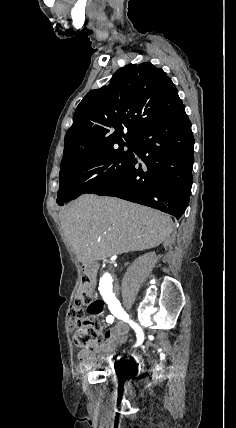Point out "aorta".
Listing matches in <instances>:
<instances>
[{
  "label": "aorta",
  "instance_id": "1",
  "mask_svg": "<svg viewBox=\"0 0 236 428\" xmlns=\"http://www.w3.org/2000/svg\"><path fill=\"white\" fill-rule=\"evenodd\" d=\"M116 282L112 271L107 270L100 278V287L103 292L112 293L115 289Z\"/></svg>",
  "mask_w": 236,
  "mask_h": 428
}]
</instances>
